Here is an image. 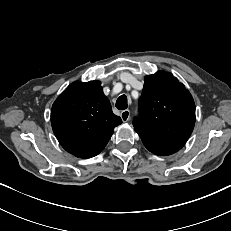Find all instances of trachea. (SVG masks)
I'll use <instances>...</instances> for the list:
<instances>
[{
    "label": "trachea",
    "mask_w": 231,
    "mask_h": 231,
    "mask_svg": "<svg viewBox=\"0 0 231 231\" xmlns=\"http://www.w3.org/2000/svg\"><path fill=\"white\" fill-rule=\"evenodd\" d=\"M115 106L117 107V109L119 110H125L127 108V97L126 95H121L117 101Z\"/></svg>",
    "instance_id": "3493384b"
}]
</instances>
